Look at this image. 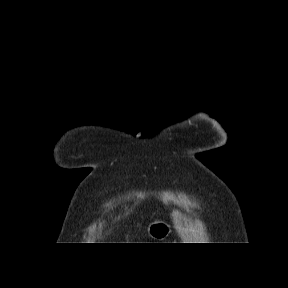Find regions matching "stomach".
<instances>
[{
  "mask_svg": "<svg viewBox=\"0 0 288 288\" xmlns=\"http://www.w3.org/2000/svg\"><path fill=\"white\" fill-rule=\"evenodd\" d=\"M170 231V226L164 222H154L148 227L149 236L156 240L165 239Z\"/></svg>",
  "mask_w": 288,
  "mask_h": 288,
  "instance_id": "1",
  "label": "stomach"
}]
</instances>
